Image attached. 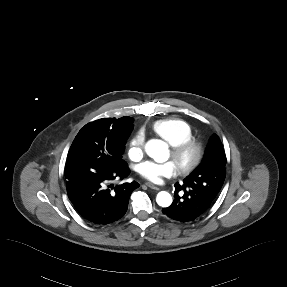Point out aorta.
Listing matches in <instances>:
<instances>
[{"mask_svg": "<svg viewBox=\"0 0 287 287\" xmlns=\"http://www.w3.org/2000/svg\"><path fill=\"white\" fill-rule=\"evenodd\" d=\"M145 150L148 156L156 162H164L168 159V146L162 140L152 139L148 141ZM156 202L161 207H169L172 203V196L166 191H161L157 194Z\"/></svg>", "mask_w": 287, "mask_h": 287, "instance_id": "aorta-1", "label": "aorta"}]
</instances>
